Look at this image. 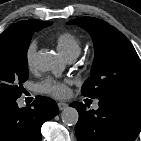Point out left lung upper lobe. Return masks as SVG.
<instances>
[{
	"label": "left lung upper lobe",
	"mask_w": 141,
	"mask_h": 141,
	"mask_svg": "<svg viewBox=\"0 0 141 141\" xmlns=\"http://www.w3.org/2000/svg\"><path fill=\"white\" fill-rule=\"evenodd\" d=\"M67 24L87 30L94 43L91 76L82 86V95L141 100V60L129 40L115 27L94 17H80Z\"/></svg>",
	"instance_id": "5c2ea615"
}]
</instances>
